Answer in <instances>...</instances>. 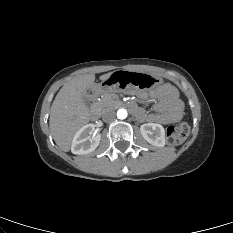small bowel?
I'll list each match as a JSON object with an SVG mask.
<instances>
[{"label": "small bowel", "instance_id": "small-bowel-1", "mask_svg": "<svg viewBox=\"0 0 233 233\" xmlns=\"http://www.w3.org/2000/svg\"><path fill=\"white\" fill-rule=\"evenodd\" d=\"M148 94L144 91L139 92V97L147 98ZM151 98L155 100V113L146 114L139 109L136 111L137 117L141 120L157 122L161 124L172 123L181 118L183 113V103L179 99L177 90L170 84H165L155 88L150 92Z\"/></svg>", "mask_w": 233, "mask_h": 233}]
</instances>
